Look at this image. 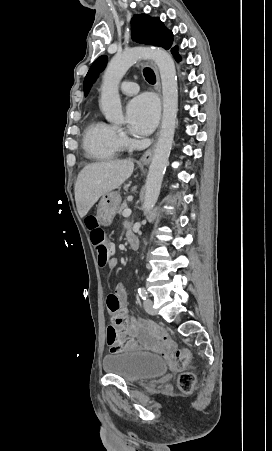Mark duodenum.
I'll list each match as a JSON object with an SVG mask.
<instances>
[{"instance_id": "1", "label": "duodenum", "mask_w": 272, "mask_h": 451, "mask_svg": "<svg viewBox=\"0 0 272 451\" xmlns=\"http://www.w3.org/2000/svg\"><path fill=\"white\" fill-rule=\"evenodd\" d=\"M128 243L131 249L136 250L139 247V241L135 236H130L128 238Z\"/></svg>"}]
</instances>
